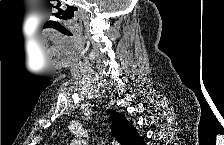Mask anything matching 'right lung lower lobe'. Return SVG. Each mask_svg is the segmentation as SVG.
<instances>
[{"instance_id": "obj_1", "label": "right lung lower lobe", "mask_w": 224, "mask_h": 145, "mask_svg": "<svg viewBox=\"0 0 224 145\" xmlns=\"http://www.w3.org/2000/svg\"><path fill=\"white\" fill-rule=\"evenodd\" d=\"M144 142V139L142 138L141 142L139 143V145H142Z\"/></svg>"}]
</instances>
